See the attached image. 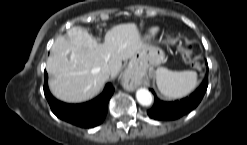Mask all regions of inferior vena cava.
I'll list each match as a JSON object with an SVG mask.
<instances>
[{"instance_id": "obj_1", "label": "inferior vena cava", "mask_w": 247, "mask_h": 145, "mask_svg": "<svg viewBox=\"0 0 247 145\" xmlns=\"http://www.w3.org/2000/svg\"><path fill=\"white\" fill-rule=\"evenodd\" d=\"M103 72H104L106 75H109V69H108V68H104V69H103Z\"/></svg>"}]
</instances>
